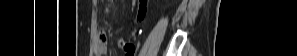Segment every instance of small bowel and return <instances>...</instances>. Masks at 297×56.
Instances as JSON below:
<instances>
[{"label":"small bowel","mask_w":297,"mask_h":56,"mask_svg":"<svg viewBox=\"0 0 297 56\" xmlns=\"http://www.w3.org/2000/svg\"><path fill=\"white\" fill-rule=\"evenodd\" d=\"M119 45L125 50L127 56H133L134 47L131 44H127L125 41L121 40ZM108 50V43L104 36H100L96 52L97 55H105Z\"/></svg>","instance_id":"1"}]
</instances>
